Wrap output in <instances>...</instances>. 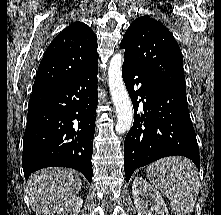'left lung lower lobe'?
<instances>
[{"instance_id": "left-lung-lower-lobe-1", "label": "left lung lower lobe", "mask_w": 221, "mask_h": 215, "mask_svg": "<svg viewBox=\"0 0 221 215\" xmlns=\"http://www.w3.org/2000/svg\"><path fill=\"white\" fill-rule=\"evenodd\" d=\"M122 74L134 107V123L124 142L127 182L135 169L167 156H186L200 169L186 92L138 70L125 60Z\"/></svg>"}]
</instances>
